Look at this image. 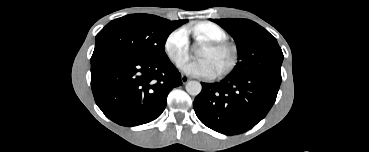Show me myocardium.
I'll return each instance as SVG.
<instances>
[{"mask_svg":"<svg viewBox=\"0 0 369 152\" xmlns=\"http://www.w3.org/2000/svg\"><path fill=\"white\" fill-rule=\"evenodd\" d=\"M205 46L216 51L226 50L229 51L231 54L228 65L224 69L217 72L215 74V77H224L230 74L236 68L238 63V51L233 44L223 40V41H209L205 43Z\"/></svg>","mask_w":369,"mask_h":152,"instance_id":"myocardium-1","label":"myocardium"}]
</instances>
